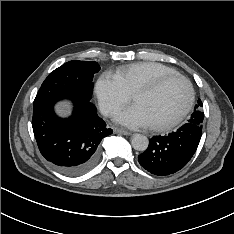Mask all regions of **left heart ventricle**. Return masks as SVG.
I'll return each mask as SVG.
<instances>
[{
  "mask_svg": "<svg viewBox=\"0 0 234 234\" xmlns=\"http://www.w3.org/2000/svg\"><path fill=\"white\" fill-rule=\"evenodd\" d=\"M188 99L186 85L173 80L151 94H140L134 98L150 121V125L168 122L175 118L185 107Z\"/></svg>",
  "mask_w": 234,
  "mask_h": 234,
  "instance_id": "obj_1",
  "label": "left heart ventricle"
}]
</instances>
